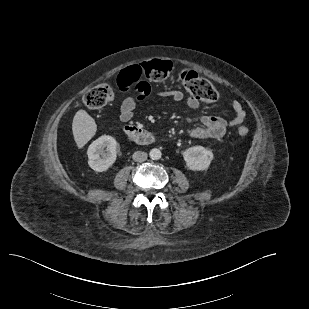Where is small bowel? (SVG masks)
Segmentation results:
<instances>
[{
    "label": "small bowel",
    "instance_id": "small-bowel-1",
    "mask_svg": "<svg viewBox=\"0 0 309 309\" xmlns=\"http://www.w3.org/2000/svg\"><path fill=\"white\" fill-rule=\"evenodd\" d=\"M122 73L123 71L118 75L117 84L121 90L127 91L134 84L129 80H126L122 76ZM135 88L136 95L125 98L121 103L119 117L123 122H129L133 118L134 111L138 104L148 98L151 94V87L147 82L142 85H135ZM156 94L159 97L170 98L173 102H181L184 99L183 93L176 89L160 90ZM185 105L188 109H196L199 107V100L190 96L185 99ZM232 109L234 111V116L229 121L214 115L201 116L202 125L193 128L190 131V136L197 139H218L223 137L228 127L240 125L245 120L246 114L239 101L234 100L232 102Z\"/></svg>",
    "mask_w": 309,
    "mask_h": 309
}]
</instances>
